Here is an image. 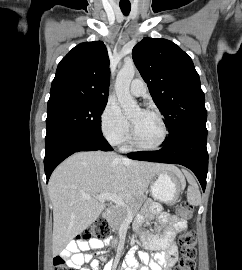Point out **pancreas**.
<instances>
[{
  "instance_id": "obj_1",
  "label": "pancreas",
  "mask_w": 242,
  "mask_h": 270,
  "mask_svg": "<svg viewBox=\"0 0 242 270\" xmlns=\"http://www.w3.org/2000/svg\"><path fill=\"white\" fill-rule=\"evenodd\" d=\"M142 201L143 200L141 199L138 201L134 200V201H129L126 203L127 206L131 209L132 216H134L139 211ZM128 215L129 214L126 208L121 207V206H116L112 210L111 214L107 217V222L113 230H118Z\"/></svg>"
}]
</instances>
